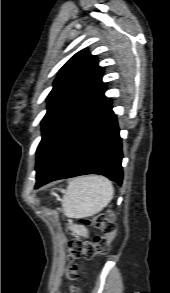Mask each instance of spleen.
<instances>
[{"label": "spleen", "instance_id": "1", "mask_svg": "<svg viewBox=\"0 0 170 293\" xmlns=\"http://www.w3.org/2000/svg\"><path fill=\"white\" fill-rule=\"evenodd\" d=\"M113 186L98 175L77 177L70 182L63 197L64 213L69 218H85L100 212L112 200Z\"/></svg>", "mask_w": 170, "mask_h": 293}]
</instances>
